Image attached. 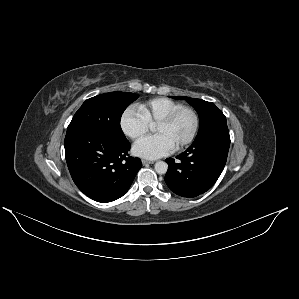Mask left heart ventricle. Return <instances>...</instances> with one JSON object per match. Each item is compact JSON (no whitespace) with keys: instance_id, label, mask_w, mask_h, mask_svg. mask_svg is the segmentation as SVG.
I'll return each instance as SVG.
<instances>
[{"instance_id":"left-heart-ventricle-1","label":"left heart ventricle","mask_w":299,"mask_h":299,"mask_svg":"<svg viewBox=\"0 0 299 299\" xmlns=\"http://www.w3.org/2000/svg\"><path fill=\"white\" fill-rule=\"evenodd\" d=\"M193 126L194 118L192 114L184 111L171 124L156 126L155 131L158 134L165 135L176 147L189 137Z\"/></svg>"}]
</instances>
